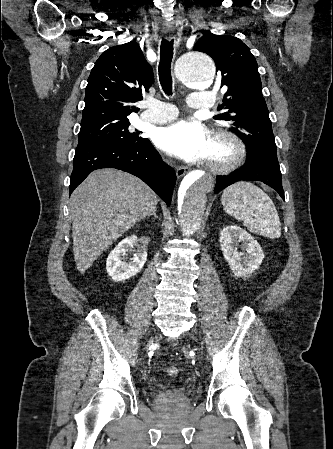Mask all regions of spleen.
Wrapping results in <instances>:
<instances>
[{"mask_svg": "<svg viewBox=\"0 0 333 449\" xmlns=\"http://www.w3.org/2000/svg\"><path fill=\"white\" fill-rule=\"evenodd\" d=\"M224 211L255 234L269 238L281 236V223L276 207L270 197L258 186L238 182L227 187L222 194ZM254 212L253 215H250Z\"/></svg>", "mask_w": 333, "mask_h": 449, "instance_id": "1", "label": "spleen"}]
</instances>
